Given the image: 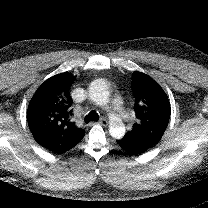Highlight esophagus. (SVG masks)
I'll use <instances>...</instances> for the list:
<instances>
[{"label":"esophagus","mask_w":208,"mask_h":208,"mask_svg":"<svg viewBox=\"0 0 208 208\" xmlns=\"http://www.w3.org/2000/svg\"><path fill=\"white\" fill-rule=\"evenodd\" d=\"M98 124H101V125H103V126H107L108 125V121L106 120V119H100L99 121H98Z\"/></svg>","instance_id":"esophagus-1"}]
</instances>
